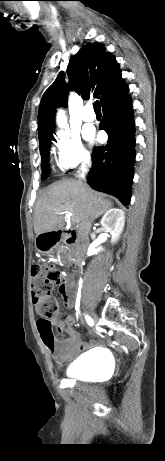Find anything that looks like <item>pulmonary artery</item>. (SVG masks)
Wrapping results in <instances>:
<instances>
[{"label": "pulmonary artery", "mask_w": 165, "mask_h": 461, "mask_svg": "<svg viewBox=\"0 0 165 461\" xmlns=\"http://www.w3.org/2000/svg\"><path fill=\"white\" fill-rule=\"evenodd\" d=\"M81 116L82 119L86 122H92L95 120V114L92 112L89 105L83 108Z\"/></svg>", "instance_id": "obj_1"}]
</instances>
